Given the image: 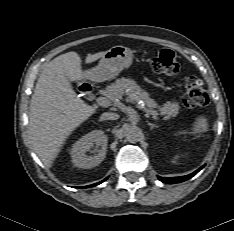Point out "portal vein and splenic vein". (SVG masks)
<instances>
[{"label":"portal vein and splenic vein","mask_w":234,"mask_h":231,"mask_svg":"<svg viewBox=\"0 0 234 231\" xmlns=\"http://www.w3.org/2000/svg\"><path fill=\"white\" fill-rule=\"evenodd\" d=\"M98 105L102 106V107H108L111 106V101L106 98V97H99L96 99ZM139 109L143 110L144 112L147 113V115H152L154 118H158V113L156 111L153 110H149L145 107H142L141 105H137Z\"/></svg>","instance_id":"portal-vein-and-splenic-vein-1"}]
</instances>
